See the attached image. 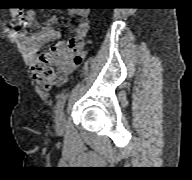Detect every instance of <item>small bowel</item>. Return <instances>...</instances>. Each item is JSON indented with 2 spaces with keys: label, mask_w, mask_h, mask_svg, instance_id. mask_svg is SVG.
Instances as JSON below:
<instances>
[{
  "label": "small bowel",
  "mask_w": 192,
  "mask_h": 180,
  "mask_svg": "<svg viewBox=\"0 0 192 180\" xmlns=\"http://www.w3.org/2000/svg\"><path fill=\"white\" fill-rule=\"evenodd\" d=\"M69 13L80 18L74 37L67 41L57 42L48 51L42 53L33 69L36 81L45 89L63 85L85 57V39L90 30L89 11L73 9ZM19 17L27 25L35 24L33 12L20 11ZM57 22L58 19L53 17L49 20V24L38 32L31 35L23 33L31 51L38 52L45 44L60 38L59 32L53 27Z\"/></svg>",
  "instance_id": "c3829d8e"
}]
</instances>
